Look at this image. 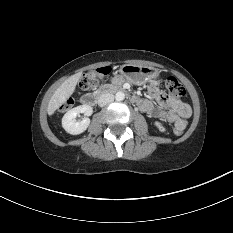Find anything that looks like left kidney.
Segmentation results:
<instances>
[{
	"instance_id": "1",
	"label": "left kidney",
	"mask_w": 233,
	"mask_h": 233,
	"mask_svg": "<svg viewBox=\"0 0 233 233\" xmlns=\"http://www.w3.org/2000/svg\"><path fill=\"white\" fill-rule=\"evenodd\" d=\"M154 125L159 129L160 132H165V127L158 121L154 122Z\"/></svg>"
}]
</instances>
